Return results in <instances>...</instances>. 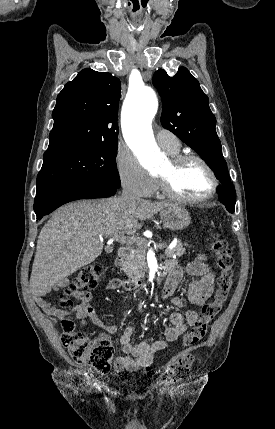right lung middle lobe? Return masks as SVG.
<instances>
[{
  "label": "right lung middle lobe",
  "mask_w": 275,
  "mask_h": 429,
  "mask_svg": "<svg viewBox=\"0 0 275 429\" xmlns=\"http://www.w3.org/2000/svg\"><path fill=\"white\" fill-rule=\"evenodd\" d=\"M118 142L67 145L46 151L37 176L36 195L76 182H94L119 188L116 168Z\"/></svg>",
  "instance_id": "right-lung-middle-lobe-1"
}]
</instances>
